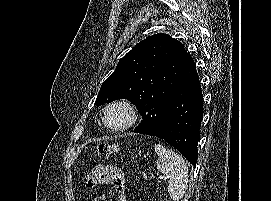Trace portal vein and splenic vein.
<instances>
[{
    "mask_svg": "<svg viewBox=\"0 0 271 201\" xmlns=\"http://www.w3.org/2000/svg\"><path fill=\"white\" fill-rule=\"evenodd\" d=\"M159 179H160V180H163V179H165V177L162 176V175H160V176H159Z\"/></svg>",
    "mask_w": 271,
    "mask_h": 201,
    "instance_id": "1",
    "label": "portal vein and splenic vein"
}]
</instances>
